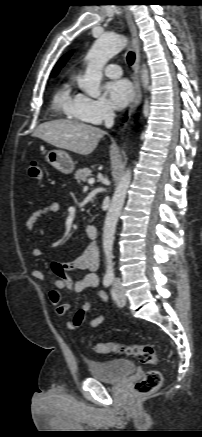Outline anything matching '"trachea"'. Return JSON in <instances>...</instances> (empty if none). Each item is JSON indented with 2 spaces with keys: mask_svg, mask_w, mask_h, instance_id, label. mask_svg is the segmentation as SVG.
<instances>
[{
  "mask_svg": "<svg viewBox=\"0 0 202 437\" xmlns=\"http://www.w3.org/2000/svg\"><path fill=\"white\" fill-rule=\"evenodd\" d=\"M135 61V54L133 52H129L127 55V62L129 65H132Z\"/></svg>",
  "mask_w": 202,
  "mask_h": 437,
  "instance_id": "obj_1",
  "label": "trachea"
}]
</instances>
